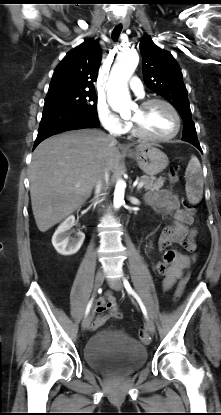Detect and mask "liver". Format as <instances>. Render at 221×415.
I'll return each instance as SVG.
<instances>
[{"instance_id":"6515ba94","label":"liver","mask_w":221,"mask_h":415,"mask_svg":"<svg viewBox=\"0 0 221 415\" xmlns=\"http://www.w3.org/2000/svg\"><path fill=\"white\" fill-rule=\"evenodd\" d=\"M117 144L100 130L81 129L52 136L38 145L29 180L33 215L41 232L84 204L105 169L118 168L122 146Z\"/></svg>"}]
</instances>
